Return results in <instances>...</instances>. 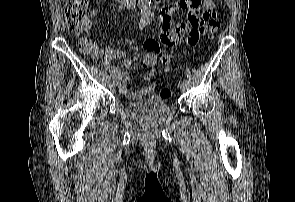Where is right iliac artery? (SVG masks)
<instances>
[{
    "label": "right iliac artery",
    "instance_id": "82829eb1",
    "mask_svg": "<svg viewBox=\"0 0 295 202\" xmlns=\"http://www.w3.org/2000/svg\"><path fill=\"white\" fill-rule=\"evenodd\" d=\"M144 26H145V23L144 22H141L140 25H139L140 29H143ZM106 79L107 80H110L111 77L108 75Z\"/></svg>",
    "mask_w": 295,
    "mask_h": 202
}]
</instances>
